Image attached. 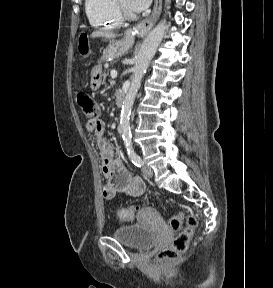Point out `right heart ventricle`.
I'll return each mask as SVG.
<instances>
[{
	"instance_id": "1",
	"label": "right heart ventricle",
	"mask_w": 273,
	"mask_h": 288,
	"mask_svg": "<svg viewBox=\"0 0 273 288\" xmlns=\"http://www.w3.org/2000/svg\"><path fill=\"white\" fill-rule=\"evenodd\" d=\"M86 15L90 24L99 29H117L122 24L114 0H85Z\"/></svg>"
}]
</instances>
